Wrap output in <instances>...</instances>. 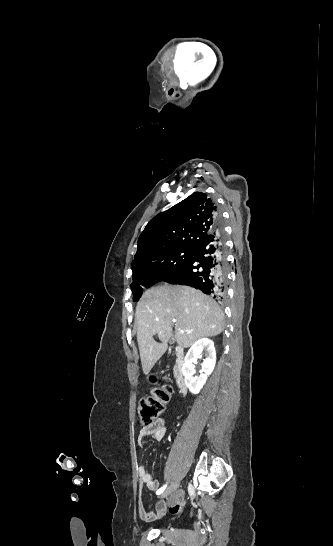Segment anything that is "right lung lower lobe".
Returning <instances> with one entry per match:
<instances>
[{"instance_id": "1", "label": "right lung lower lobe", "mask_w": 333, "mask_h": 546, "mask_svg": "<svg viewBox=\"0 0 333 546\" xmlns=\"http://www.w3.org/2000/svg\"><path fill=\"white\" fill-rule=\"evenodd\" d=\"M228 263L224 237L220 226L193 246L190 258L163 281L188 285L214 298L226 292Z\"/></svg>"}]
</instances>
